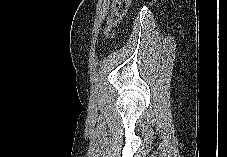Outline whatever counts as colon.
I'll list each match as a JSON object with an SVG mask.
<instances>
[{"label": "colon", "mask_w": 227, "mask_h": 157, "mask_svg": "<svg viewBox=\"0 0 227 157\" xmlns=\"http://www.w3.org/2000/svg\"><path fill=\"white\" fill-rule=\"evenodd\" d=\"M131 0H114L111 14L108 16L106 25L103 28V35L109 37L113 34L114 28L119 24L126 14Z\"/></svg>", "instance_id": "1"}]
</instances>
